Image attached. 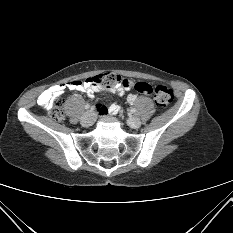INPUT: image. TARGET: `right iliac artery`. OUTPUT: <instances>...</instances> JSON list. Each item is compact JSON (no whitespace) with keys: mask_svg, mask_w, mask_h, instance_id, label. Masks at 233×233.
Instances as JSON below:
<instances>
[{"mask_svg":"<svg viewBox=\"0 0 233 233\" xmlns=\"http://www.w3.org/2000/svg\"><path fill=\"white\" fill-rule=\"evenodd\" d=\"M90 108V105L89 104H86L85 105V109H89Z\"/></svg>","mask_w":233,"mask_h":233,"instance_id":"1","label":"right iliac artery"}]
</instances>
